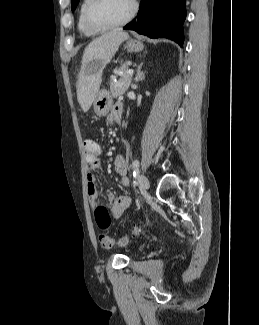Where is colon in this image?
I'll return each mask as SVG.
<instances>
[{"instance_id": "obj_1", "label": "colon", "mask_w": 259, "mask_h": 325, "mask_svg": "<svg viewBox=\"0 0 259 325\" xmlns=\"http://www.w3.org/2000/svg\"><path fill=\"white\" fill-rule=\"evenodd\" d=\"M83 145H84V152H85L86 158H95L97 156L98 144L94 140L86 139V140H84ZM95 219L101 228H106L110 224V221H111V218H110L107 208L104 206L96 207ZM139 233H140V228H136L133 230V232L130 235L122 236L121 238H119L117 240L107 234H100L99 242H100V245L104 249H112L117 246L127 245L130 238L139 235Z\"/></svg>"}]
</instances>
